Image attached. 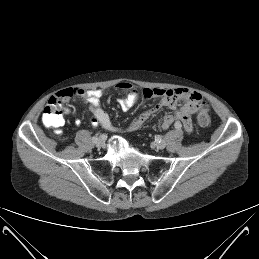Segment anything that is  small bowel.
Listing matches in <instances>:
<instances>
[{"mask_svg":"<svg viewBox=\"0 0 259 259\" xmlns=\"http://www.w3.org/2000/svg\"><path fill=\"white\" fill-rule=\"evenodd\" d=\"M117 89L126 92L127 95L118 99V105L122 111H128L141 99L157 98L159 103L153 108L144 111L139 117L134 119L128 126V131H136L144 127L150 118L159 112L163 107L176 110L173 114H167L163 117L160 127L168 129L174 123L179 122L186 132H192L193 124L191 115L201 109L202 98L197 92L188 88L162 89V88H144L139 89L129 82L117 84ZM104 91L101 89L84 90L81 88H71L59 91L55 97L62 102L70 97H78L87 101L92 113L91 122L93 125H101L103 128L116 132L118 129L113 126L109 114L102 108L100 99ZM179 101L183 104L178 107ZM67 111V110H65ZM79 124V120L76 121Z\"/></svg>","mask_w":259,"mask_h":259,"instance_id":"small-bowel-1","label":"small bowel"}]
</instances>
